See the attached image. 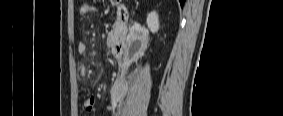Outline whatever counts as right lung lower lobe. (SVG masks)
Instances as JSON below:
<instances>
[{"label":"right lung lower lobe","mask_w":283,"mask_h":116,"mask_svg":"<svg viewBox=\"0 0 283 116\" xmlns=\"http://www.w3.org/2000/svg\"><path fill=\"white\" fill-rule=\"evenodd\" d=\"M179 1H180L181 6H183L184 0H179Z\"/></svg>","instance_id":"obj_1"}]
</instances>
